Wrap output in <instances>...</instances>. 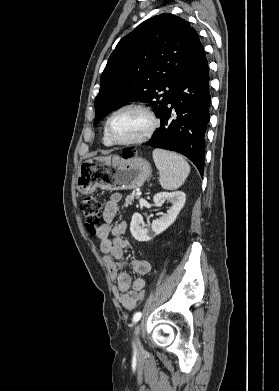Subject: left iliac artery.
<instances>
[{
    "label": "left iliac artery",
    "instance_id": "left-iliac-artery-1",
    "mask_svg": "<svg viewBox=\"0 0 279 391\" xmlns=\"http://www.w3.org/2000/svg\"><path fill=\"white\" fill-rule=\"evenodd\" d=\"M141 316H142V313H141V312H136V313L134 314V316H133V323L138 322V321L140 320Z\"/></svg>",
    "mask_w": 279,
    "mask_h": 391
}]
</instances>
